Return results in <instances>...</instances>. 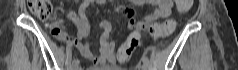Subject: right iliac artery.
Instances as JSON below:
<instances>
[{"mask_svg": "<svg viewBox=\"0 0 238 70\" xmlns=\"http://www.w3.org/2000/svg\"><path fill=\"white\" fill-rule=\"evenodd\" d=\"M79 64V60L78 59H74L72 62L73 66H77Z\"/></svg>", "mask_w": 238, "mask_h": 70, "instance_id": "82829eb1", "label": "right iliac artery"}]
</instances>
